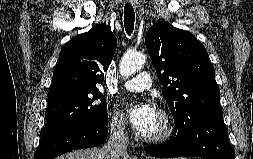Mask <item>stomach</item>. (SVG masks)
I'll list each match as a JSON object with an SVG mask.
<instances>
[{"mask_svg": "<svg viewBox=\"0 0 253 159\" xmlns=\"http://www.w3.org/2000/svg\"><path fill=\"white\" fill-rule=\"evenodd\" d=\"M175 159H186V158H184V157H180V158H175Z\"/></svg>", "mask_w": 253, "mask_h": 159, "instance_id": "obj_1", "label": "stomach"}]
</instances>
